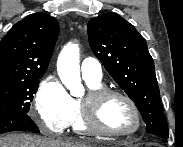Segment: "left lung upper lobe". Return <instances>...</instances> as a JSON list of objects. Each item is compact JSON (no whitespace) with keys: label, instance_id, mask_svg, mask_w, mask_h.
Listing matches in <instances>:
<instances>
[{"label":"left lung upper lobe","instance_id":"obj_1","mask_svg":"<svg viewBox=\"0 0 183 147\" xmlns=\"http://www.w3.org/2000/svg\"><path fill=\"white\" fill-rule=\"evenodd\" d=\"M87 30L93 53L134 101L146 123L147 132L168 138L154 62L146 40L132 24L115 13L92 18Z\"/></svg>","mask_w":183,"mask_h":147}]
</instances>
